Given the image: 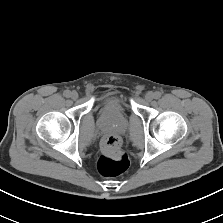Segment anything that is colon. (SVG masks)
<instances>
[{
  "instance_id": "obj_1",
  "label": "colon",
  "mask_w": 223,
  "mask_h": 223,
  "mask_svg": "<svg viewBox=\"0 0 223 223\" xmlns=\"http://www.w3.org/2000/svg\"><path fill=\"white\" fill-rule=\"evenodd\" d=\"M103 152L97 162L99 173L104 177H115L124 173L130 164L126 153L121 151L118 136L110 134L103 139Z\"/></svg>"
}]
</instances>
